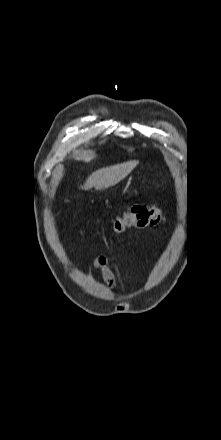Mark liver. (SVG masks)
Returning <instances> with one entry per match:
<instances>
[{
    "mask_svg": "<svg viewBox=\"0 0 221 440\" xmlns=\"http://www.w3.org/2000/svg\"><path fill=\"white\" fill-rule=\"evenodd\" d=\"M139 161L133 160L126 163L105 167L93 172L81 186L84 190L95 188L103 190L116 185L124 179L137 165Z\"/></svg>",
    "mask_w": 221,
    "mask_h": 440,
    "instance_id": "6515ba94",
    "label": "liver"
}]
</instances>
